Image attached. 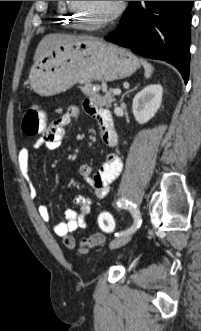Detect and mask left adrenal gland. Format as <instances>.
<instances>
[{
	"instance_id": "1",
	"label": "left adrenal gland",
	"mask_w": 201,
	"mask_h": 331,
	"mask_svg": "<svg viewBox=\"0 0 201 331\" xmlns=\"http://www.w3.org/2000/svg\"><path fill=\"white\" fill-rule=\"evenodd\" d=\"M131 91H132V90H129V91H127L125 94H123L122 97H121V100H120V101H122L123 98H124V96H125L126 94H128L129 92H131Z\"/></svg>"
}]
</instances>
